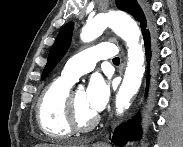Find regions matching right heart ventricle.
Returning <instances> with one entry per match:
<instances>
[{"label": "right heart ventricle", "instance_id": "1", "mask_svg": "<svg viewBox=\"0 0 183 147\" xmlns=\"http://www.w3.org/2000/svg\"><path fill=\"white\" fill-rule=\"evenodd\" d=\"M73 82L62 76L49 83L43 90L36 110L42 132L51 139H64L73 130L67 120V99Z\"/></svg>", "mask_w": 183, "mask_h": 147}]
</instances>
